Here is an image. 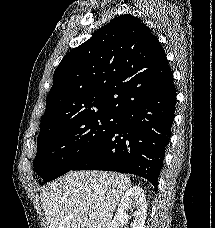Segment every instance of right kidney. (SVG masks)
<instances>
[{
    "label": "right kidney",
    "mask_w": 215,
    "mask_h": 228,
    "mask_svg": "<svg viewBox=\"0 0 215 228\" xmlns=\"http://www.w3.org/2000/svg\"><path fill=\"white\" fill-rule=\"evenodd\" d=\"M133 212L132 216L134 218L131 228H144L145 220L147 218V204L145 194L142 188L138 186H133L125 192L122 196V200L118 206L117 214L114 216L110 228H123L125 224H128L130 216L127 212Z\"/></svg>",
    "instance_id": "ca27d5eb"
}]
</instances>
